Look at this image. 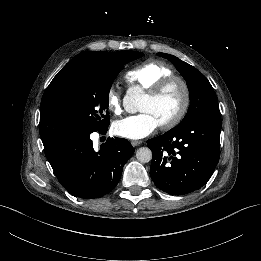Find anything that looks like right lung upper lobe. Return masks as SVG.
<instances>
[{
  "label": "right lung upper lobe",
  "instance_id": "obj_1",
  "mask_svg": "<svg viewBox=\"0 0 261 261\" xmlns=\"http://www.w3.org/2000/svg\"><path fill=\"white\" fill-rule=\"evenodd\" d=\"M126 52H84L71 59L53 78L44 92L40 107V132L58 139L72 133L73 113L66 86L79 69L92 65L116 64Z\"/></svg>",
  "mask_w": 261,
  "mask_h": 261
}]
</instances>
